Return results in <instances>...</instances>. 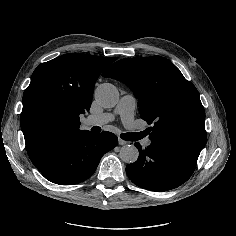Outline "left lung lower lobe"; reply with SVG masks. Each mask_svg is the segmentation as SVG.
<instances>
[{
    "instance_id": "left-lung-lower-lobe-1",
    "label": "left lung lower lobe",
    "mask_w": 236,
    "mask_h": 236,
    "mask_svg": "<svg viewBox=\"0 0 236 236\" xmlns=\"http://www.w3.org/2000/svg\"><path fill=\"white\" fill-rule=\"evenodd\" d=\"M139 157L126 166L129 179L137 186L151 191H167L186 182L192 175L198 156L166 142L151 140L142 149L136 142Z\"/></svg>"
}]
</instances>
